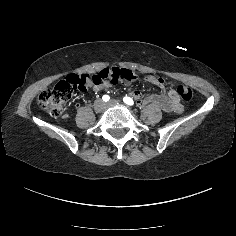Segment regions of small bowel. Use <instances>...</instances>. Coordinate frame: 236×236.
Listing matches in <instances>:
<instances>
[{
	"label": "small bowel",
	"instance_id": "obj_1",
	"mask_svg": "<svg viewBox=\"0 0 236 236\" xmlns=\"http://www.w3.org/2000/svg\"><path fill=\"white\" fill-rule=\"evenodd\" d=\"M148 80H149L151 83H154V84H156V85H158V86H163V84H164L163 79H161V78H159V77H156V76H149V77H148ZM108 86H109V84H103V85L97 87L96 89H102V88H105V87H108ZM133 94H134L135 96H138V95H139V92L135 91Z\"/></svg>",
	"mask_w": 236,
	"mask_h": 236
}]
</instances>
